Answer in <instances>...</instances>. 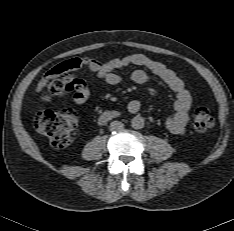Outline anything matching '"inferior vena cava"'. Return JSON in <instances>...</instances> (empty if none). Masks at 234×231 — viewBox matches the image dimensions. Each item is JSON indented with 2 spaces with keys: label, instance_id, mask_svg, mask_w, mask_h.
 <instances>
[{
  "label": "inferior vena cava",
  "instance_id": "inferior-vena-cava-1",
  "mask_svg": "<svg viewBox=\"0 0 234 231\" xmlns=\"http://www.w3.org/2000/svg\"><path fill=\"white\" fill-rule=\"evenodd\" d=\"M124 128V124L120 121H112L110 123L109 129L110 131H119Z\"/></svg>",
  "mask_w": 234,
  "mask_h": 231
}]
</instances>
